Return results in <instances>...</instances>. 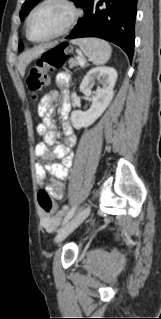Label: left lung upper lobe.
Returning a JSON list of instances; mask_svg holds the SVG:
<instances>
[{
    "label": "left lung upper lobe",
    "instance_id": "1",
    "mask_svg": "<svg viewBox=\"0 0 161 319\" xmlns=\"http://www.w3.org/2000/svg\"><path fill=\"white\" fill-rule=\"evenodd\" d=\"M41 0H26L25 3L22 6L21 12H20V18L21 20L24 19L25 16L30 12V10ZM75 3L76 6H80L84 9L87 8L89 0H71ZM23 45L22 42L19 44V50H22Z\"/></svg>",
    "mask_w": 161,
    "mask_h": 319
}]
</instances>
